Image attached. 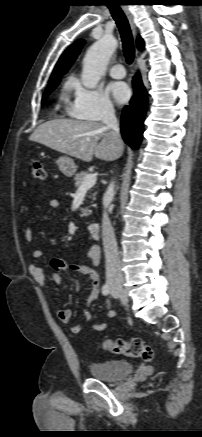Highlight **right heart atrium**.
<instances>
[{
    "label": "right heart atrium",
    "mask_w": 202,
    "mask_h": 437,
    "mask_svg": "<svg viewBox=\"0 0 202 437\" xmlns=\"http://www.w3.org/2000/svg\"><path fill=\"white\" fill-rule=\"evenodd\" d=\"M71 88L73 96L68 106L71 116L82 120L99 121L114 115V105L102 89H90L79 82H73Z\"/></svg>",
    "instance_id": "d8ad5b80"
}]
</instances>
